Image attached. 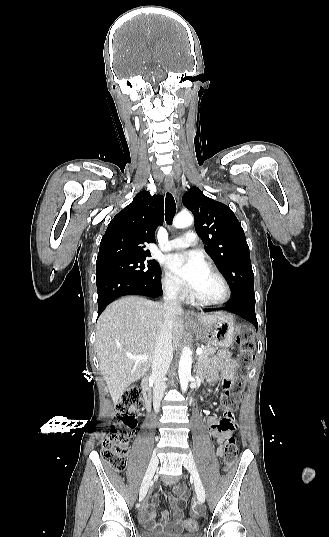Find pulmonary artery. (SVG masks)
Here are the masks:
<instances>
[{"mask_svg":"<svg viewBox=\"0 0 329 537\" xmlns=\"http://www.w3.org/2000/svg\"><path fill=\"white\" fill-rule=\"evenodd\" d=\"M197 244V236L193 231L186 232L183 236L172 239L165 250H181Z\"/></svg>","mask_w":329,"mask_h":537,"instance_id":"pulmonary-artery-1","label":"pulmonary artery"}]
</instances>
